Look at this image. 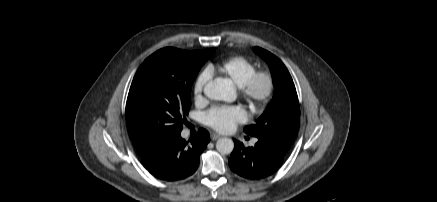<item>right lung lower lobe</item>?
<instances>
[{
  "label": "right lung lower lobe",
  "mask_w": 437,
  "mask_h": 202,
  "mask_svg": "<svg viewBox=\"0 0 437 202\" xmlns=\"http://www.w3.org/2000/svg\"><path fill=\"white\" fill-rule=\"evenodd\" d=\"M209 141V133L202 128L190 142L178 132L140 155L141 162L158 179L170 182L184 180L197 170L200 154Z\"/></svg>",
  "instance_id": "1"
}]
</instances>
